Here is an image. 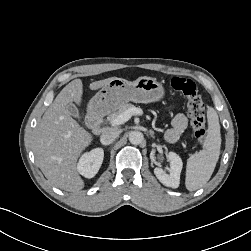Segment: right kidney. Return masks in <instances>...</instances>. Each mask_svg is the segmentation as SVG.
I'll return each mask as SVG.
<instances>
[{
    "label": "right kidney",
    "mask_w": 251,
    "mask_h": 251,
    "mask_svg": "<svg viewBox=\"0 0 251 251\" xmlns=\"http://www.w3.org/2000/svg\"><path fill=\"white\" fill-rule=\"evenodd\" d=\"M104 158V150L95 148L84 153L77 164V171L86 178H93L99 171Z\"/></svg>",
    "instance_id": "1"
}]
</instances>
